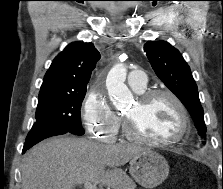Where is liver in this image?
Returning <instances> with one entry per match:
<instances>
[{"mask_svg":"<svg viewBox=\"0 0 223 189\" xmlns=\"http://www.w3.org/2000/svg\"><path fill=\"white\" fill-rule=\"evenodd\" d=\"M146 149L129 144L105 145L83 138L53 137L30 149L22 162V189H73L85 182L126 189L120 166ZM111 169L106 170V167Z\"/></svg>","mask_w":223,"mask_h":189,"instance_id":"obj_1","label":"liver"}]
</instances>
